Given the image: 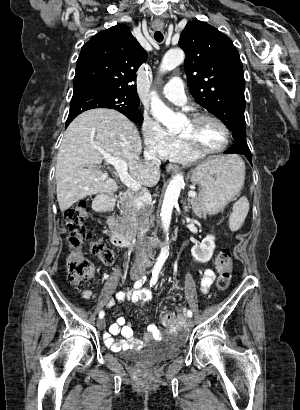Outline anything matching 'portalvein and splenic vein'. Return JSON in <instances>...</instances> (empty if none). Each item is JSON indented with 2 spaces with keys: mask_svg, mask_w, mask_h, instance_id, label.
<instances>
[{
  "mask_svg": "<svg viewBox=\"0 0 300 410\" xmlns=\"http://www.w3.org/2000/svg\"><path fill=\"white\" fill-rule=\"evenodd\" d=\"M103 156L105 161L108 164H112L114 165L119 178L121 180V182L126 185L128 188H130L133 191H138L141 188V185L139 183H137L127 172V164L121 160L118 159L116 157H113L111 155H109L108 153L103 152ZM188 196L190 198H195L197 196L196 192L194 190H190L188 192Z\"/></svg>",
  "mask_w": 300,
  "mask_h": 410,
  "instance_id": "18ae733b",
  "label": "portal vein and splenic vein"
}]
</instances>
